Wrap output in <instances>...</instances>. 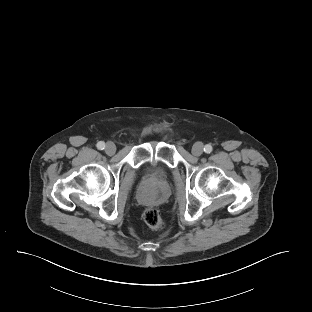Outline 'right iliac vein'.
Segmentation results:
<instances>
[{"label": "right iliac vein", "instance_id": "1", "mask_svg": "<svg viewBox=\"0 0 312 312\" xmlns=\"http://www.w3.org/2000/svg\"><path fill=\"white\" fill-rule=\"evenodd\" d=\"M105 152L108 154V155H112L116 152V146L114 143L112 142H108L106 144V147H105Z\"/></svg>", "mask_w": 312, "mask_h": 312}]
</instances>
